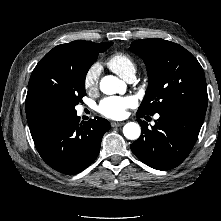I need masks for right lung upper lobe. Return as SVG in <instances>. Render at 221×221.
I'll return each instance as SVG.
<instances>
[{"label": "right lung upper lobe", "mask_w": 221, "mask_h": 221, "mask_svg": "<svg viewBox=\"0 0 221 221\" xmlns=\"http://www.w3.org/2000/svg\"><path fill=\"white\" fill-rule=\"evenodd\" d=\"M89 41H73L67 44H61L54 47L48 52L43 59L37 64L32 72L29 81L28 92L26 96L25 108L26 114L40 108H44L42 95L47 85V68L49 65L59 61L67 56L76 48L88 45Z\"/></svg>", "instance_id": "obj_1"}]
</instances>
